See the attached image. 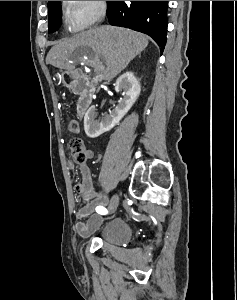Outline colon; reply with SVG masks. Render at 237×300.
Listing matches in <instances>:
<instances>
[{"label": "colon", "instance_id": "colon-1", "mask_svg": "<svg viewBox=\"0 0 237 300\" xmlns=\"http://www.w3.org/2000/svg\"><path fill=\"white\" fill-rule=\"evenodd\" d=\"M67 147L72 152L74 159L78 163L86 162V151L81 139L73 137L68 140Z\"/></svg>", "mask_w": 237, "mask_h": 300}]
</instances>
